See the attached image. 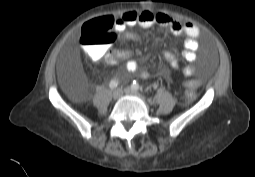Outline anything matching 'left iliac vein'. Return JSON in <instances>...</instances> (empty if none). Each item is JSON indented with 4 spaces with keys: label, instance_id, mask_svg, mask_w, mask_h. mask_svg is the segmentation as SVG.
Here are the masks:
<instances>
[{
    "label": "left iliac vein",
    "instance_id": "left-iliac-vein-1",
    "mask_svg": "<svg viewBox=\"0 0 255 177\" xmlns=\"http://www.w3.org/2000/svg\"><path fill=\"white\" fill-rule=\"evenodd\" d=\"M124 92H125L127 95H137V96H139V93H138L137 91L133 90V89L130 88V87H126V88L124 89Z\"/></svg>",
    "mask_w": 255,
    "mask_h": 177
}]
</instances>
